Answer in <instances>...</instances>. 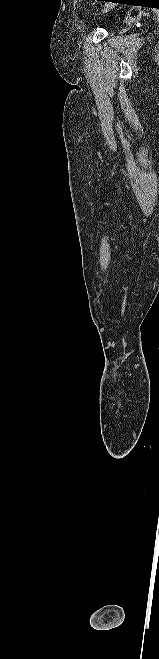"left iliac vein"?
I'll return each mask as SVG.
<instances>
[{
    "mask_svg": "<svg viewBox=\"0 0 159 659\" xmlns=\"http://www.w3.org/2000/svg\"><path fill=\"white\" fill-rule=\"evenodd\" d=\"M110 9H111V5H110V4H107V5L103 8V12H107V11H109Z\"/></svg>",
    "mask_w": 159,
    "mask_h": 659,
    "instance_id": "4c4485c4",
    "label": "left iliac vein"
}]
</instances>
